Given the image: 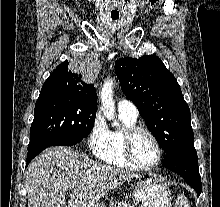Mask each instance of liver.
Returning a JSON list of instances; mask_svg holds the SVG:
<instances>
[{"label": "liver", "instance_id": "6515ba94", "mask_svg": "<svg viewBox=\"0 0 220 207\" xmlns=\"http://www.w3.org/2000/svg\"><path fill=\"white\" fill-rule=\"evenodd\" d=\"M137 177L60 146L46 149L30 163L24 185L28 207H94L109 190ZM72 182L74 187L69 186ZM68 190L72 193L67 203Z\"/></svg>", "mask_w": 220, "mask_h": 207}]
</instances>
